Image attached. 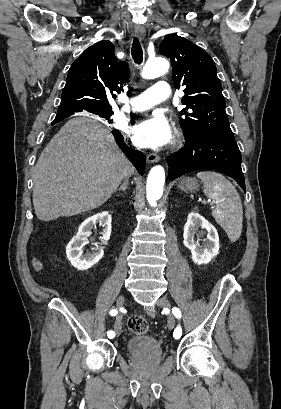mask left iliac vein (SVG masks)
<instances>
[{
  "label": "left iliac vein",
  "mask_w": 281,
  "mask_h": 409,
  "mask_svg": "<svg viewBox=\"0 0 281 409\" xmlns=\"http://www.w3.org/2000/svg\"><path fill=\"white\" fill-rule=\"evenodd\" d=\"M157 306L162 307L164 311L168 313V328L173 329L175 325V319H174V316L170 313V308H171L170 302L165 298H160L157 301Z\"/></svg>",
  "instance_id": "obj_1"
}]
</instances>
